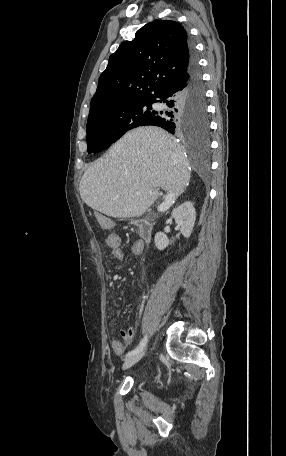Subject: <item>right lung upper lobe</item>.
<instances>
[{
	"mask_svg": "<svg viewBox=\"0 0 286 456\" xmlns=\"http://www.w3.org/2000/svg\"><path fill=\"white\" fill-rule=\"evenodd\" d=\"M191 58L192 46L181 24L157 20L144 25L110 56L88 119L115 104L155 100L184 78Z\"/></svg>",
	"mask_w": 286,
	"mask_h": 456,
	"instance_id": "right-lung-upper-lobe-1",
	"label": "right lung upper lobe"
}]
</instances>
